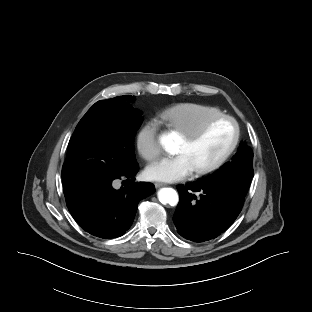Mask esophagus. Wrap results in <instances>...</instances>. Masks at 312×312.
<instances>
[{
    "label": "esophagus",
    "mask_w": 312,
    "mask_h": 312,
    "mask_svg": "<svg viewBox=\"0 0 312 312\" xmlns=\"http://www.w3.org/2000/svg\"><path fill=\"white\" fill-rule=\"evenodd\" d=\"M154 185H155L156 188H160V187L166 186V184L162 183V182H156Z\"/></svg>",
    "instance_id": "esophagus-1"
}]
</instances>
